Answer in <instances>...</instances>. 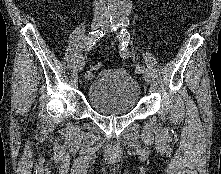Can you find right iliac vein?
I'll list each match as a JSON object with an SVG mask.
<instances>
[{
    "label": "right iliac vein",
    "instance_id": "right-iliac-vein-1",
    "mask_svg": "<svg viewBox=\"0 0 221 174\" xmlns=\"http://www.w3.org/2000/svg\"><path fill=\"white\" fill-rule=\"evenodd\" d=\"M106 20L102 19V18H94L92 21V25H91V29L93 31L97 30L98 28L104 26ZM84 67V60L80 59L79 61V70L81 71Z\"/></svg>",
    "mask_w": 221,
    "mask_h": 174
}]
</instances>
